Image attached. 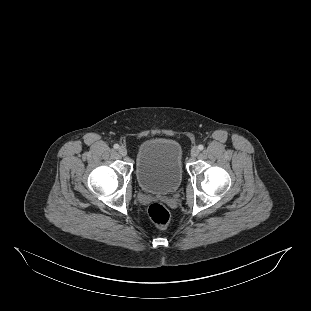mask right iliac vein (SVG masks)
Instances as JSON below:
<instances>
[{
	"label": "right iliac vein",
	"instance_id": "63e3f726",
	"mask_svg": "<svg viewBox=\"0 0 311 311\" xmlns=\"http://www.w3.org/2000/svg\"><path fill=\"white\" fill-rule=\"evenodd\" d=\"M118 152H119V154L121 156H126L127 155V149L125 147H123V146L118 149Z\"/></svg>",
	"mask_w": 311,
	"mask_h": 311
}]
</instances>
